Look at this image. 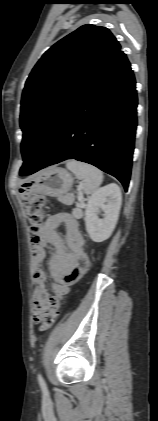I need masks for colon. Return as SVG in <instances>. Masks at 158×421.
I'll return each instance as SVG.
<instances>
[{"mask_svg": "<svg viewBox=\"0 0 158 421\" xmlns=\"http://www.w3.org/2000/svg\"><path fill=\"white\" fill-rule=\"evenodd\" d=\"M46 199L43 196L36 195L30 198L25 203V216L28 220L30 232L32 234L33 243L36 242L37 237L41 231L45 213L44 207ZM58 310L56 308L48 309L41 316L40 328L41 330L50 329L56 322Z\"/></svg>", "mask_w": 158, "mask_h": 421, "instance_id": "1", "label": "colon"}]
</instances>
